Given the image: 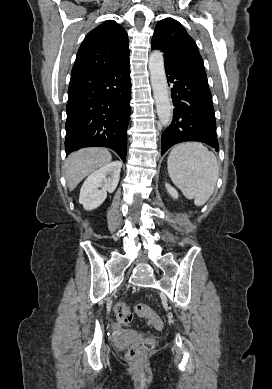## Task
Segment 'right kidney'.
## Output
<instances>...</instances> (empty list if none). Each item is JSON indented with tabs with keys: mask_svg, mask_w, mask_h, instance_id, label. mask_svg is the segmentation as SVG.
Returning <instances> with one entry per match:
<instances>
[{
	"mask_svg": "<svg viewBox=\"0 0 272 389\" xmlns=\"http://www.w3.org/2000/svg\"><path fill=\"white\" fill-rule=\"evenodd\" d=\"M121 167L122 164L119 161H114L88 176L81 187L79 197V203L83 205L85 210L96 209L105 201L107 192L113 193L115 191Z\"/></svg>",
	"mask_w": 272,
	"mask_h": 389,
	"instance_id": "ca27d5eb",
	"label": "right kidney"
}]
</instances>
